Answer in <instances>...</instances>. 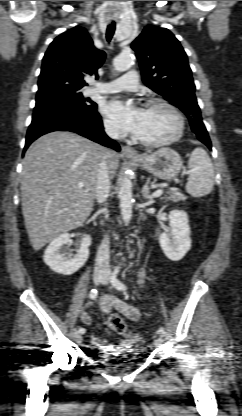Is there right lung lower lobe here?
<instances>
[{
	"label": "right lung lower lobe",
	"mask_w": 242,
	"mask_h": 416,
	"mask_svg": "<svg viewBox=\"0 0 242 416\" xmlns=\"http://www.w3.org/2000/svg\"><path fill=\"white\" fill-rule=\"evenodd\" d=\"M53 131H72L120 151L118 143L105 134L101 116L96 108L82 111L61 104H47L34 109L24 152L38 137Z\"/></svg>",
	"instance_id": "right-lung-lower-lobe-1"
}]
</instances>
